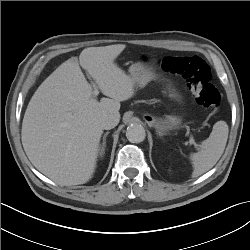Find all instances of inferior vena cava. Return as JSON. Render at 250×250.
Instances as JSON below:
<instances>
[{
    "instance_id": "inferior-vena-cava-1",
    "label": "inferior vena cava",
    "mask_w": 250,
    "mask_h": 250,
    "mask_svg": "<svg viewBox=\"0 0 250 250\" xmlns=\"http://www.w3.org/2000/svg\"><path fill=\"white\" fill-rule=\"evenodd\" d=\"M119 118L114 115H108L102 118L100 125L102 129L109 130L117 126Z\"/></svg>"
}]
</instances>
